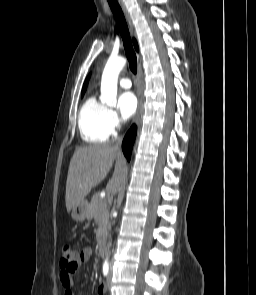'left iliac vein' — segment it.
Masks as SVG:
<instances>
[{"instance_id":"1","label":"left iliac vein","mask_w":256,"mask_h":295,"mask_svg":"<svg viewBox=\"0 0 256 295\" xmlns=\"http://www.w3.org/2000/svg\"><path fill=\"white\" fill-rule=\"evenodd\" d=\"M111 278H112V270H110L108 278H107V286L108 287H111V285H112Z\"/></svg>"}]
</instances>
